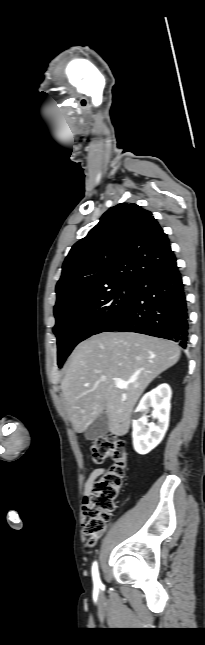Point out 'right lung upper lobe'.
<instances>
[{"instance_id": "cb5924a9", "label": "right lung upper lobe", "mask_w": 205, "mask_h": 645, "mask_svg": "<svg viewBox=\"0 0 205 645\" xmlns=\"http://www.w3.org/2000/svg\"><path fill=\"white\" fill-rule=\"evenodd\" d=\"M174 259L169 239L151 212L133 203L111 207L66 257L54 313L83 297L135 284Z\"/></svg>"}]
</instances>
